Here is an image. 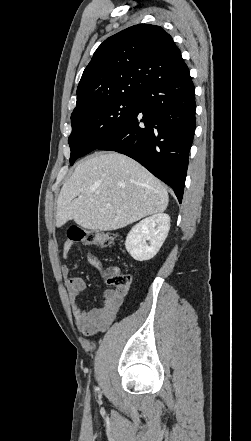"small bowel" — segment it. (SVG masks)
I'll list each match as a JSON object with an SVG mask.
<instances>
[{"label": "small bowel", "instance_id": "c3829d8e", "mask_svg": "<svg viewBox=\"0 0 251 441\" xmlns=\"http://www.w3.org/2000/svg\"><path fill=\"white\" fill-rule=\"evenodd\" d=\"M73 242L67 240L62 247V256L67 258ZM87 261L99 272L104 270L102 263L92 252H87ZM62 273L67 278V288L73 300V311L78 330L87 336L102 332L115 320L127 294V289H107L103 295V304L94 308H81L75 299L86 289V282L78 276H71V267L64 265Z\"/></svg>", "mask_w": 251, "mask_h": 441}]
</instances>
